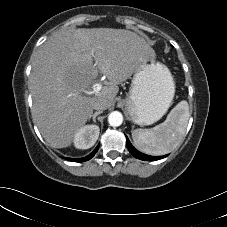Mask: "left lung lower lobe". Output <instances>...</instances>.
<instances>
[{
    "label": "left lung lower lobe",
    "mask_w": 227,
    "mask_h": 227,
    "mask_svg": "<svg viewBox=\"0 0 227 227\" xmlns=\"http://www.w3.org/2000/svg\"><path fill=\"white\" fill-rule=\"evenodd\" d=\"M126 143H127V147L130 151V153L137 159H140V160H144V161H154V160H159V159H162L164 157H166L167 155L165 156H149V155H146V154H143L141 152H139L138 150H136L132 144L130 143L128 137L126 136Z\"/></svg>",
    "instance_id": "obj_1"
}]
</instances>
